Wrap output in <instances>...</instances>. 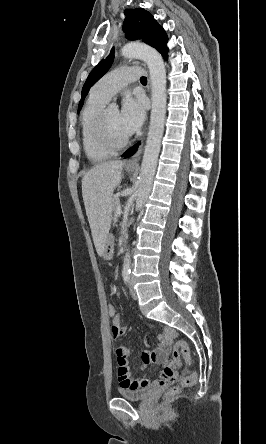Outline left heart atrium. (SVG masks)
Instances as JSON below:
<instances>
[{"label": "left heart atrium", "mask_w": 266, "mask_h": 444, "mask_svg": "<svg viewBox=\"0 0 266 444\" xmlns=\"http://www.w3.org/2000/svg\"><path fill=\"white\" fill-rule=\"evenodd\" d=\"M145 119V105L140 98H127L124 100L119 113V122L128 135L136 132Z\"/></svg>", "instance_id": "obj_1"}]
</instances>
